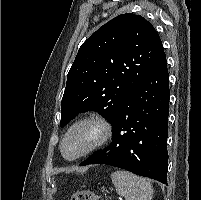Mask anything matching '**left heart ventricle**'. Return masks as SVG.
Listing matches in <instances>:
<instances>
[{
	"label": "left heart ventricle",
	"instance_id": "obj_1",
	"mask_svg": "<svg viewBox=\"0 0 201 200\" xmlns=\"http://www.w3.org/2000/svg\"><path fill=\"white\" fill-rule=\"evenodd\" d=\"M97 135V129L91 125H82L75 128L65 142V155L72 158L82 153L92 145Z\"/></svg>",
	"mask_w": 201,
	"mask_h": 200
}]
</instances>
